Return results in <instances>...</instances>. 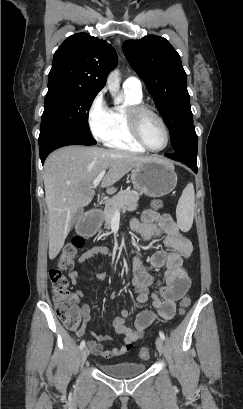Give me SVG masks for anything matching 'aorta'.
<instances>
[{
  "label": "aorta",
  "mask_w": 243,
  "mask_h": 409,
  "mask_svg": "<svg viewBox=\"0 0 243 409\" xmlns=\"http://www.w3.org/2000/svg\"><path fill=\"white\" fill-rule=\"evenodd\" d=\"M107 88L109 89V92L111 96L114 99V104L118 105L122 103L123 98L119 93L120 89V72L119 70H113L110 72L107 78Z\"/></svg>",
  "instance_id": "762f6f07"
}]
</instances>
